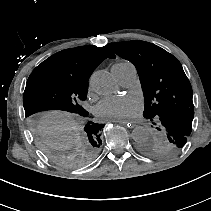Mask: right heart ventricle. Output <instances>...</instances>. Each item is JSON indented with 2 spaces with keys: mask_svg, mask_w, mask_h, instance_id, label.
Wrapping results in <instances>:
<instances>
[{
  "mask_svg": "<svg viewBox=\"0 0 211 211\" xmlns=\"http://www.w3.org/2000/svg\"><path fill=\"white\" fill-rule=\"evenodd\" d=\"M118 64L123 65V66L132 65V64H131L130 62H128V61L119 62Z\"/></svg>",
  "mask_w": 211,
  "mask_h": 211,
  "instance_id": "e07e8e85",
  "label": "right heart ventricle"
}]
</instances>
